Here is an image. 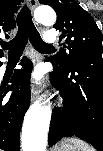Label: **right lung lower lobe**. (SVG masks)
<instances>
[{
    "instance_id": "obj_1",
    "label": "right lung lower lobe",
    "mask_w": 103,
    "mask_h": 151,
    "mask_svg": "<svg viewBox=\"0 0 103 151\" xmlns=\"http://www.w3.org/2000/svg\"><path fill=\"white\" fill-rule=\"evenodd\" d=\"M20 65L22 69L15 70L10 81L0 83V148L4 151H19L22 121L30 105L32 62L25 57Z\"/></svg>"
}]
</instances>
